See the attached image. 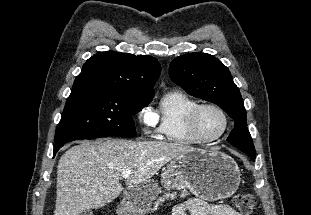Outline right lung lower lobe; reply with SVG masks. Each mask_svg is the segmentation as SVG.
Here are the masks:
<instances>
[{
	"instance_id": "obj_1",
	"label": "right lung lower lobe",
	"mask_w": 311,
	"mask_h": 215,
	"mask_svg": "<svg viewBox=\"0 0 311 215\" xmlns=\"http://www.w3.org/2000/svg\"><path fill=\"white\" fill-rule=\"evenodd\" d=\"M65 143H67V142H65ZM65 143H61V144L55 145V147H54V149H53L54 155L56 154V152H57Z\"/></svg>"
}]
</instances>
